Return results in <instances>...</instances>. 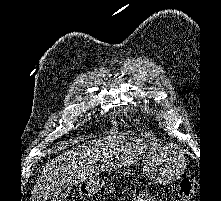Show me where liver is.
<instances>
[{"label":"liver","instance_id":"1","mask_svg":"<svg viewBox=\"0 0 221 201\" xmlns=\"http://www.w3.org/2000/svg\"><path fill=\"white\" fill-rule=\"evenodd\" d=\"M78 142L80 140L71 143ZM164 148L156 143L123 135L78 144L43 167L41 178L32 193V201H47L51 192L59 186L86 183L104 170L131 165L141 157ZM99 161L100 170L96 168Z\"/></svg>","mask_w":221,"mask_h":201}]
</instances>
